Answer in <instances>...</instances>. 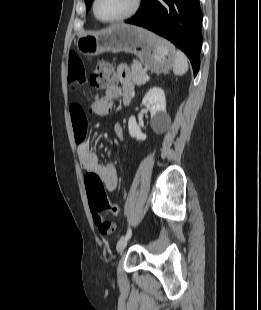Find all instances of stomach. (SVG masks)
<instances>
[{"label": "stomach", "instance_id": "stomach-1", "mask_svg": "<svg viewBox=\"0 0 261 310\" xmlns=\"http://www.w3.org/2000/svg\"><path fill=\"white\" fill-rule=\"evenodd\" d=\"M76 46L87 56L107 51L133 53L154 73L168 72L175 61V48L168 41L146 29L123 23L80 37Z\"/></svg>", "mask_w": 261, "mask_h": 310}]
</instances>
